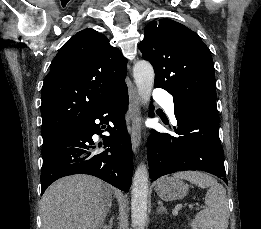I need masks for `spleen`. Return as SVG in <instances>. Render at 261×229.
Masks as SVG:
<instances>
[{
	"label": "spleen",
	"mask_w": 261,
	"mask_h": 229,
	"mask_svg": "<svg viewBox=\"0 0 261 229\" xmlns=\"http://www.w3.org/2000/svg\"><path fill=\"white\" fill-rule=\"evenodd\" d=\"M173 177L185 179L200 189H208L205 197L207 207L196 215V223L200 229H227L229 209L226 191L216 179L199 171H182L175 173Z\"/></svg>",
	"instance_id": "spleen-1"
}]
</instances>
